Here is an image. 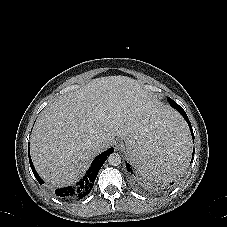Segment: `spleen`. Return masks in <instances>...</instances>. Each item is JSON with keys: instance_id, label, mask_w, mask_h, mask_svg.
Instances as JSON below:
<instances>
[{"instance_id": "1", "label": "spleen", "mask_w": 227, "mask_h": 227, "mask_svg": "<svg viewBox=\"0 0 227 227\" xmlns=\"http://www.w3.org/2000/svg\"><path fill=\"white\" fill-rule=\"evenodd\" d=\"M125 149L138 171L150 179L170 182L181 176L189 163V132L168 101L154 103L151 114L129 129Z\"/></svg>"}]
</instances>
